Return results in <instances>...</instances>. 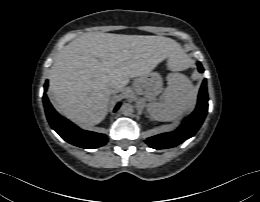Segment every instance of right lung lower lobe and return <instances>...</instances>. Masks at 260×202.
<instances>
[{"label":"right lung lower lobe","mask_w":260,"mask_h":202,"mask_svg":"<svg viewBox=\"0 0 260 202\" xmlns=\"http://www.w3.org/2000/svg\"><path fill=\"white\" fill-rule=\"evenodd\" d=\"M48 81L44 85L46 90ZM43 103L45 107L46 116L50 126L68 143L81 147V148H98L108 142L105 134H100L91 131H85L60 116L50 104L46 94L43 95ZM120 103L115 107L116 111Z\"/></svg>","instance_id":"obj_1"}]
</instances>
